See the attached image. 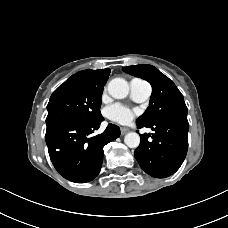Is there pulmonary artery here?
I'll return each mask as SVG.
<instances>
[{
  "instance_id": "obj_1",
  "label": "pulmonary artery",
  "mask_w": 228,
  "mask_h": 228,
  "mask_svg": "<svg viewBox=\"0 0 228 228\" xmlns=\"http://www.w3.org/2000/svg\"><path fill=\"white\" fill-rule=\"evenodd\" d=\"M152 93L151 85L145 80L134 78L130 81V96L136 102L146 101Z\"/></svg>"
}]
</instances>
